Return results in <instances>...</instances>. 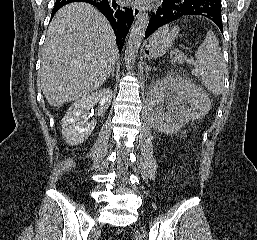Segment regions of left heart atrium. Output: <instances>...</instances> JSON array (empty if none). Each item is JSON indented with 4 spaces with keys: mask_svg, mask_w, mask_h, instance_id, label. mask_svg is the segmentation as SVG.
<instances>
[{
    "mask_svg": "<svg viewBox=\"0 0 257 240\" xmlns=\"http://www.w3.org/2000/svg\"><path fill=\"white\" fill-rule=\"evenodd\" d=\"M127 1L132 2V3H136V4H147L151 0H127Z\"/></svg>",
    "mask_w": 257,
    "mask_h": 240,
    "instance_id": "39dd6f15",
    "label": "left heart atrium"
}]
</instances>
